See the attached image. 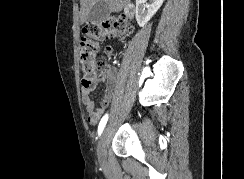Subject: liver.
I'll return each mask as SVG.
<instances>
[{"mask_svg":"<svg viewBox=\"0 0 244 179\" xmlns=\"http://www.w3.org/2000/svg\"><path fill=\"white\" fill-rule=\"evenodd\" d=\"M80 2V22H86V20H88V14L91 12V8L95 6L96 2H100V0H80ZM105 2L110 4L111 12H121L130 0H105Z\"/></svg>","mask_w":244,"mask_h":179,"instance_id":"1","label":"liver"}]
</instances>
